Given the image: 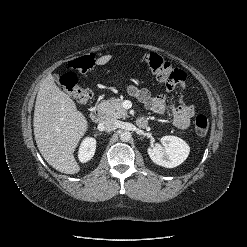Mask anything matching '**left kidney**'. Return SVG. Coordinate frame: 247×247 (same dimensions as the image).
<instances>
[{"label":"left kidney","instance_id":"left-kidney-1","mask_svg":"<svg viewBox=\"0 0 247 247\" xmlns=\"http://www.w3.org/2000/svg\"><path fill=\"white\" fill-rule=\"evenodd\" d=\"M161 143L164 149L155 145L149 147L147 152L155 164L165 168H174L182 164L190 153L189 145L179 137L163 136Z\"/></svg>","mask_w":247,"mask_h":247}]
</instances>
